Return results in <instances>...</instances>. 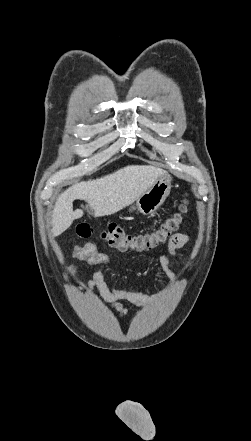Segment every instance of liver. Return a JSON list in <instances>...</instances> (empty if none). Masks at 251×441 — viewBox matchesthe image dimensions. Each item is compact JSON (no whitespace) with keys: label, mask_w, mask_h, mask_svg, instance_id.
<instances>
[{"label":"liver","mask_w":251,"mask_h":441,"mask_svg":"<svg viewBox=\"0 0 251 441\" xmlns=\"http://www.w3.org/2000/svg\"><path fill=\"white\" fill-rule=\"evenodd\" d=\"M165 173L151 165H129L101 178L72 185L55 203L52 215L53 235L62 234L75 219L82 217L81 210L73 211L74 200L86 201L94 212V217L108 216L132 204Z\"/></svg>","instance_id":"6515ba94"}]
</instances>
